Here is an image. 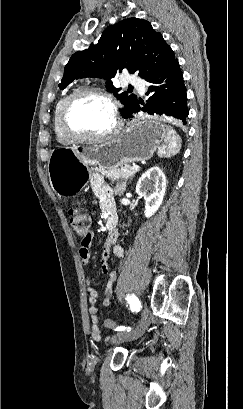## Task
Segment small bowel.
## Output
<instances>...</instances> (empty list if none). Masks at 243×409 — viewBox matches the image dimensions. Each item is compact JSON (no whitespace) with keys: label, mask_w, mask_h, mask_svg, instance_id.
<instances>
[{"label":"small bowel","mask_w":243,"mask_h":409,"mask_svg":"<svg viewBox=\"0 0 243 409\" xmlns=\"http://www.w3.org/2000/svg\"><path fill=\"white\" fill-rule=\"evenodd\" d=\"M92 187L96 196L99 201L100 208L108 213L109 211H113L115 213V202H114V193L120 192L123 188L122 185L118 186L116 190H113L111 187L107 186L101 178L96 177L92 181ZM118 238V232L116 228L114 231L107 235L105 245H104V252L102 255V264L101 270L104 274L108 275L107 284L104 290V298L102 300V306L108 307L111 302L112 297V287L117 279V274L115 271L111 270L108 264V259L110 253L118 259H121L124 255V249L121 245L116 244ZM91 240L92 234L88 233L85 238L82 239L79 253L81 256L82 264L84 266H88L90 263L91 258ZM86 285L88 290V301L90 303L89 313H90V321H91V329L90 335L93 340L101 341L102 334L99 328V317H98V309L96 307V303L99 297V292L97 288L91 287L90 285V278L86 279Z\"/></svg>","instance_id":"small-bowel-1"}]
</instances>
